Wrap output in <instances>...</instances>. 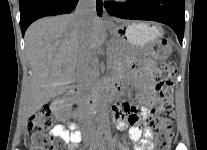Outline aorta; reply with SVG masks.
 <instances>
[{
  "instance_id": "aorta-1",
  "label": "aorta",
  "mask_w": 207,
  "mask_h": 150,
  "mask_svg": "<svg viewBox=\"0 0 207 150\" xmlns=\"http://www.w3.org/2000/svg\"><path fill=\"white\" fill-rule=\"evenodd\" d=\"M98 100H99L100 109L102 111H105L107 108V98L103 87H101L99 90Z\"/></svg>"
}]
</instances>
